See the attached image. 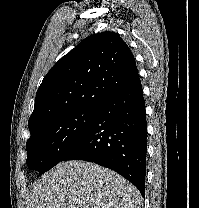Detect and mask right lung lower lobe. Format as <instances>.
I'll use <instances>...</instances> for the list:
<instances>
[{
	"label": "right lung lower lobe",
	"mask_w": 199,
	"mask_h": 208,
	"mask_svg": "<svg viewBox=\"0 0 199 208\" xmlns=\"http://www.w3.org/2000/svg\"><path fill=\"white\" fill-rule=\"evenodd\" d=\"M147 123L140 79L101 101L90 126L62 161L85 160L112 169L145 197Z\"/></svg>",
	"instance_id": "obj_1"
}]
</instances>
